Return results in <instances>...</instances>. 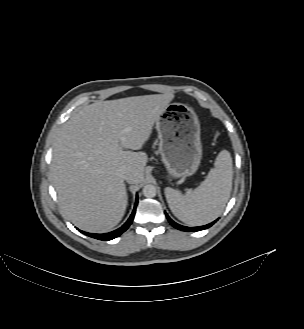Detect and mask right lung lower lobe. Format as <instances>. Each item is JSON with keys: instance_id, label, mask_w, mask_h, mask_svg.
<instances>
[{"instance_id": "right-lung-lower-lobe-1", "label": "right lung lower lobe", "mask_w": 304, "mask_h": 329, "mask_svg": "<svg viewBox=\"0 0 304 329\" xmlns=\"http://www.w3.org/2000/svg\"><path fill=\"white\" fill-rule=\"evenodd\" d=\"M137 203H138V200L136 199L135 207H134V210H133L130 218L119 229L112 231L110 233H105V234H94V233H87V232H83V231H80V232H82L83 234L90 236L92 238L104 240V241L111 240V239H114V238L120 236L124 231H126L128 229V227L132 223L134 215H135Z\"/></svg>"}]
</instances>
